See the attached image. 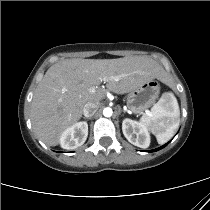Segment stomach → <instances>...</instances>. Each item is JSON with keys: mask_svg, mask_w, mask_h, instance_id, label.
<instances>
[{"mask_svg": "<svg viewBox=\"0 0 210 210\" xmlns=\"http://www.w3.org/2000/svg\"><path fill=\"white\" fill-rule=\"evenodd\" d=\"M160 86L155 80L148 81L133 89L127 95V105L134 113H141L151 107L159 95Z\"/></svg>", "mask_w": 210, "mask_h": 210, "instance_id": "obj_1", "label": "stomach"}]
</instances>
